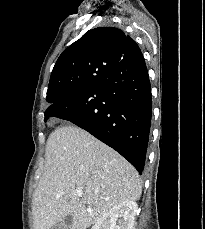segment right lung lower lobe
<instances>
[{"instance_id": "1", "label": "right lung lower lobe", "mask_w": 205, "mask_h": 229, "mask_svg": "<svg viewBox=\"0 0 205 229\" xmlns=\"http://www.w3.org/2000/svg\"><path fill=\"white\" fill-rule=\"evenodd\" d=\"M122 59L111 74L45 112L69 120L112 147L142 174L152 114L151 86L140 50Z\"/></svg>"}]
</instances>
